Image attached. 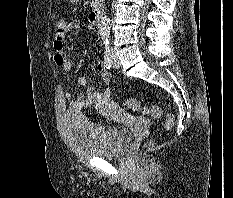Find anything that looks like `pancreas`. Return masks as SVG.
<instances>
[{"label":"pancreas","mask_w":233,"mask_h":198,"mask_svg":"<svg viewBox=\"0 0 233 198\" xmlns=\"http://www.w3.org/2000/svg\"><path fill=\"white\" fill-rule=\"evenodd\" d=\"M104 0H91V7L94 9V8H97L99 5H101V3L103 2Z\"/></svg>","instance_id":"cf45deb5"}]
</instances>
